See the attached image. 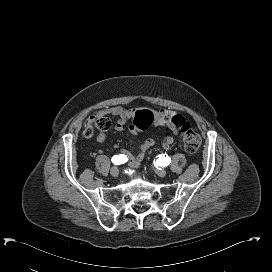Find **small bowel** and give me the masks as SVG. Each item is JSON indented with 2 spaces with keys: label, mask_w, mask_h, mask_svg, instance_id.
I'll list each match as a JSON object with an SVG mask.
<instances>
[{
  "label": "small bowel",
  "mask_w": 272,
  "mask_h": 272,
  "mask_svg": "<svg viewBox=\"0 0 272 272\" xmlns=\"http://www.w3.org/2000/svg\"><path fill=\"white\" fill-rule=\"evenodd\" d=\"M134 110L133 109H127L121 106H114V107H109L103 111H101V114L103 115H110L114 118H116V123H115V130L118 132H123V131H138V130H144L148 125H146L143 128H132V125H129V122L131 118L134 115ZM152 114L154 116V126H159V127H165L170 130H172L175 134L178 133L176 127L172 123V118L175 116L176 112L172 110H167V109H159V110H153ZM106 140V134L105 133H100L96 137V142L97 143H103ZM174 139L173 137H165L162 140V148L164 150H169L170 146L172 145ZM156 144V140L152 138L145 139L142 143H140L136 147V156L131 160L130 163V168H137L140 165V161L144 155V153L153 147ZM122 153H126V150L123 149Z\"/></svg>",
  "instance_id": "obj_1"
}]
</instances>
